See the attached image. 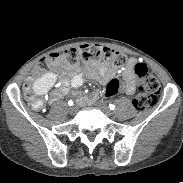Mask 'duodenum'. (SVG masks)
<instances>
[{
	"label": "duodenum",
	"instance_id": "duodenum-1",
	"mask_svg": "<svg viewBox=\"0 0 183 183\" xmlns=\"http://www.w3.org/2000/svg\"><path fill=\"white\" fill-rule=\"evenodd\" d=\"M99 99V94L98 93H92L91 96L85 97V96H80L79 97V102L84 105H89L90 103H93L94 100Z\"/></svg>",
	"mask_w": 183,
	"mask_h": 183
}]
</instances>
